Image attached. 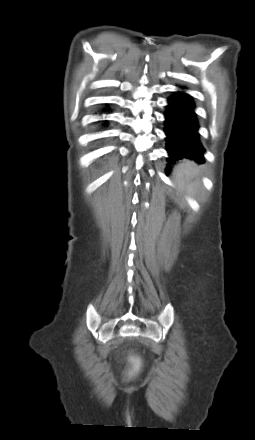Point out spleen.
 <instances>
[{
    "mask_svg": "<svg viewBox=\"0 0 255 440\" xmlns=\"http://www.w3.org/2000/svg\"><path fill=\"white\" fill-rule=\"evenodd\" d=\"M195 173H196L195 168L193 167V164L190 162H185L180 164L175 170V175L178 180L192 177L195 175Z\"/></svg>",
    "mask_w": 255,
    "mask_h": 440,
    "instance_id": "3e777b00",
    "label": "spleen"
}]
</instances>
